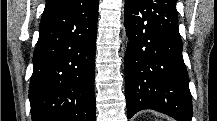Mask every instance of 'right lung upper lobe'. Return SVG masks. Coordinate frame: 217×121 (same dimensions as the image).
Segmentation results:
<instances>
[{
	"label": "right lung upper lobe",
	"instance_id": "obj_1",
	"mask_svg": "<svg viewBox=\"0 0 217 121\" xmlns=\"http://www.w3.org/2000/svg\"><path fill=\"white\" fill-rule=\"evenodd\" d=\"M74 0H47L45 8L72 2Z\"/></svg>",
	"mask_w": 217,
	"mask_h": 121
}]
</instances>
